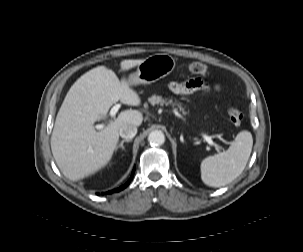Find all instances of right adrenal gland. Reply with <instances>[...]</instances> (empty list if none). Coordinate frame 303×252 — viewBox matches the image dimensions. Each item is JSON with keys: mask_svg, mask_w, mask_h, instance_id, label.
<instances>
[{"mask_svg": "<svg viewBox=\"0 0 303 252\" xmlns=\"http://www.w3.org/2000/svg\"><path fill=\"white\" fill-rule=\"evenodd\" d=\"M131 141H132L131 139H124V140H122V141L120 142V144L116 147V150H117L118 148H121L122 150H124V146H123L124 142H131Z\"/></svg>", "mask_w": 303, "mask_h": 252, "instance_id": "1", "label": "right adrenal gland"}]
</instances>
